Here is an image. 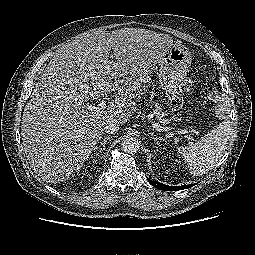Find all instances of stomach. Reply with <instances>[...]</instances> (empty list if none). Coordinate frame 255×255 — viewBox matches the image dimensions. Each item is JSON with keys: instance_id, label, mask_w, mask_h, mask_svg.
I'll return each instance as SVG.
<instances>
[{"instance_id": "obj_1", "label": "stomach", "mask_w": 255, "mask_h": 255, "mask_svg": "<svg viewBox=\"0 0 255 255\" xmlns=\"http://www.w3.org/2000/svg\"><path fill=\"white\" fill-rule=\"evenodd\" d=\"M159 65V84L166 94H172L189 72L191 53L185 45L174 44Z\"/></svg>"}]
</instances>
